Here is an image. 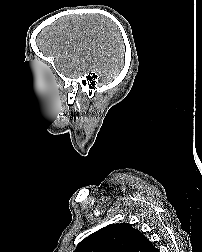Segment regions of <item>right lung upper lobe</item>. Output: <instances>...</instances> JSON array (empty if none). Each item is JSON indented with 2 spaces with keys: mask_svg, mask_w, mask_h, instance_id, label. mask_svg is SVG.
<instances>
[{
  "mask_svg": "<svg viewBox=\"0 0 202 252\" xmlns=\"http://www.w3.org/2000/svg\"><path fill=\"white\" fill-rule=\"evenodd\" d=\"M74 252H158L142 232L130 224H111L81 241Z\"/></svg>",
  "mask_w": 202,
  "mask_h": 252,
  "instance_id": "right-lung-upper-lobe-1",
  "label": "right lung upper lobe"
}]
</instances>
